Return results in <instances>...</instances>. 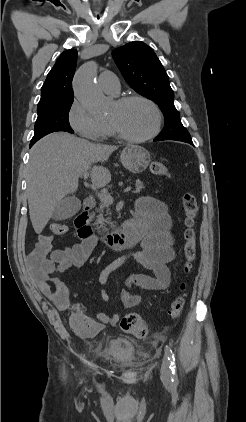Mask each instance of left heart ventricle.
<instances>
[{"label":"left heart ventricle","mask_w":246,"mask_h":422,"mask_svg":"<svg viewBox=\"0 0 246 422\" xmlns=\"http://www.w3.org/2000/svg\"><path fill=\"white\" fill-rule=\"evenodd\" d=\"M126 133L141 137L150 133L156 123L154 110L146 103L134 101L124 106L113 105L108 117Z\"/></svg>","instance_id":"obj_1"}]
</instances>
